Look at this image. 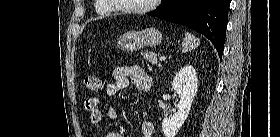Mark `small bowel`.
Returning <instances> with one entry per match:
<instances>
[{
  "instance_id": "small-bowel-1",
  "label": "small bowel",
  "mask_w": 280,
  "mask_h": 137,
  "mask_svg": "<svg viewBox=\"0 0 280 137\" xmlns=\"http://www.w3.org/2000/svg\"><path fill=\"white\" fill-rule=\"evenodd\" d=\"M131 85L141 93L147 92L152 85V79L146 72L139 66H123L114 70L111 74V81L106 85V94L108 96H116L124 90L128 84ZM99 99L91 97L86 99L84 108L89 114V123L92 126H97L102 120V113L99 107ZM108 116L111 119L119 117V111L116 107L111 106L108 109ZM141 136L152 137L153 124L150 121H143L140 124ZM106 137H123L121 133L111 132Z\"/></svg>"
}]
</instances>
